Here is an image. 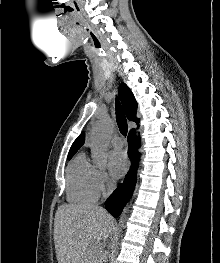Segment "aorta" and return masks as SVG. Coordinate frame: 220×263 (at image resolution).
Returning <instances> with one entry per match:
<instances>
[{
  "mask_svg": "<svg viewBox=\"0 0 220 263\" xmlns=\"http://www.w3.org/2000/svg\"><path fill=\"white\" fill-rule=\"evenodd\" d=\"M113 130V123L110 119L103 118L95 127L92 138V152L93 161L95 165L99 168H105L108 158V139L109 135ZM128 212V206H126L120 217V230L123 227L126 214Z\"/></svg>",
  "mask_w": 220,
  "mask_h": 263,
  "instance_id": "1",
  "label": "aorta"
}]
</instances>
